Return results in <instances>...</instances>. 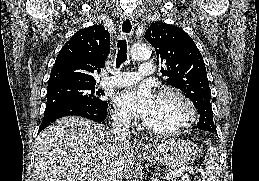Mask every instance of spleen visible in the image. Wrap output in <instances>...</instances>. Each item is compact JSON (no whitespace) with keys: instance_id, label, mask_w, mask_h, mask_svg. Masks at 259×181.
<instances>
[{"instance_id":"3e777b00","label":"spleen","mask_w":259,"mask_h":181,"mask_svg":"<svg viewBox=\"0 0 259 181\" xmlns=\"http://www.w3.org/2000/svg\"><path fill=\"white\" fill-rule=\"evenodd\" d=\"M204 163L206 167L202 181H219V161L217 152L213 146H209Z\"/></svg>"}]
</instances>
